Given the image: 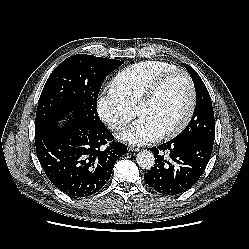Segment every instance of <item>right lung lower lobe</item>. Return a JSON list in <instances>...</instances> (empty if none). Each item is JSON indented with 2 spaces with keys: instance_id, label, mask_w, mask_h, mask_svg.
Wrapping results in <instances>:
<instances>
[{
  "instance_id": "98d812e1",
  "label": "right lung lower lobe",
  "mask_w": 249,
  "mask_h": 249,
  "mask_svg": "<svg viewBox=\"0 0 249 249\" xmlns=\"http://www.w3.org/2000/svg\"><path fill=\"white\" fill-rule=\"evenodd\" d=\"M111 132L81 120H70L35 131L36 153L49 180L72 197L98 192L109 180L115 162L127 153L126 145L112 142Z\"/></svg>"
}]
</instances>
